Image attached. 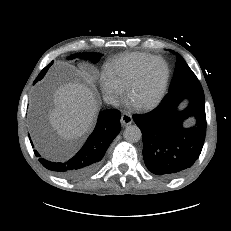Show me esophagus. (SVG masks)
Here are the masks:
<instances>
[{
	"label": "esophagus",
	"instance_id": "obj_1",
	"mask_svg": "<svg viewBox=\"0 0 231 231\" xmlns=\"http://www.w3.org/2000/svg\"><path fill=\"white\" fill-rule=\"evenodd\" d=\"M120 121H121V124L123 126H128L133 122V119H132V116L129 113H123L121 115Z\"/></svg>",
	"mask_w": 231,
	"mask_h": 231
}]
</instances>
